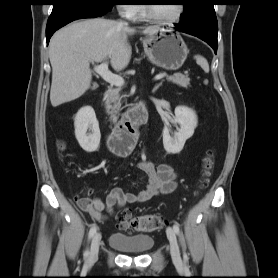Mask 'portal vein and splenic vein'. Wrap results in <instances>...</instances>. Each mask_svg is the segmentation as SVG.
I'll use <instances>...</instances> for the list:
<instances>
[{
	"label": "portal vein and splenic vein",
	"instance_id": "1",
	"mask_svg": "<svg viewBox=\"0 0 278 278\" xmlns=\"http://www.w3.org/2000/svg\"><path fill=\"white\" fill-rule=\"evenodd\" d=\"M94 70L96 73H98L106 82L115 85L117 87H122L125 83L124 79L116 74H113L109 69H108V63L104 61L100 65H96L94 67ZM166 74L162 73L159 75H156L154 80H160L164 78Z\"/></svg>",
	"mask_w": 278,
	"mask_h": 278
}]
</instances>
